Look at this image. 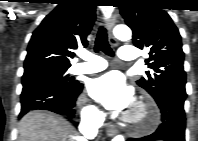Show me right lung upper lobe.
<instances>
[{
    "label": "right lung upper lobe",
    "mask_w": 198,
    "mask_h": 141,
    "mask_svg": "<svg viewBox=\"0 0 198 141\" xmlns=\"http://www.w3.org/2000/svg\"><path fill=\"white\" fill-rule=\"evenodd\" d=\"M93 0H62L33 32L24 63L25 72L40 68H69L78 43L86 37L95 21Z\"/></svg>",
    "instance_id": "right-lung-upper-lobe-1"
}]
</instances>
